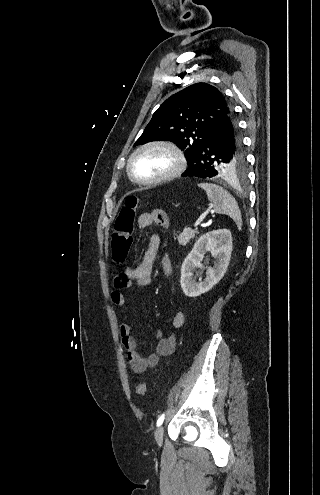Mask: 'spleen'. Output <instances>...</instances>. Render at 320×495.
I'll return each mask as SVG.
<instances>
[{
    "mask_svg": "<svg viewBox=\"0 0 320 495\" xmlns=\"http://www.w3.org/2000/svg\"><path fill=\"white\" fill-rule=\"evenodd\" d=\"M198 186L206 191L208 200L214 204L216 213L228 215L242 228L241 212L234 197L222 187L211 183H200Z\"/></svg>",
    "mask_w": 320,
    "mask_h": 495,
    "instance_id": "3e777b00",
    "label": "spleen"
}]
</instances>
